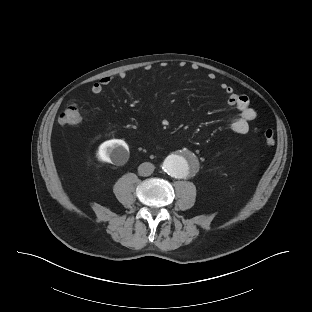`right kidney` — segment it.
Returning a JSON list of instances; mask_svg holds the SVG:
<instances>
[{"label":"right kidney","mask_w":312,"mask_h":312,"mask_svg":"<svg viewBox=\"0 0 312 312\" xmlns=\"http://www.w3.org/2000/svg\"><path fill=\"white\" fill-rule=\"evenodd\" d=\"M96 156L102 162L124 164L129 158V148L125 141L112 139L99 146Z\"/></svg>","instance_id":"obj_1"}]
</instances>
